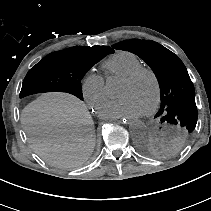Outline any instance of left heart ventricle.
Wrapping results in <instances>:
<instances>
[{
    "mask_svg": "<svg viewBox=\"0 0 211 211\" xmlns=\"http://www.w3.org/2000/svg\"><path fill=\"white\" fill-rule=\"evenodd\" d=\"M118 95L131 97L145 111L154 101L155 85L149 75L142 74L133 82L121 81Z\"/></svg>",
    "mask_w": 211,
    "mask_h": 211,
    "instance_id": "obj_1",
    "label": "left heart ventricle"
}]
</instances>
